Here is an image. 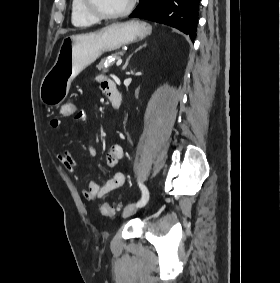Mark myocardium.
Instances as JSON below:
<instances>
[{
  "mask_svg": "<svg viewBox=\"0 0 280 283\" xmlns=\"http://www.w3.org/2000/svg\"><path fill=\"white\" fill-rule=\"evenodd\" d=\"M136 4V0H130L127 7L114 14H106L100 11L93 3V0H83V6L85 11L96 18L97 20H116L127 16L134 9Z\"/></svg>",
  "mask_w": 280,
  "mask_h": 283,
  "instance_id": "1",
  "label": "myocardium"
}]
</instances>
